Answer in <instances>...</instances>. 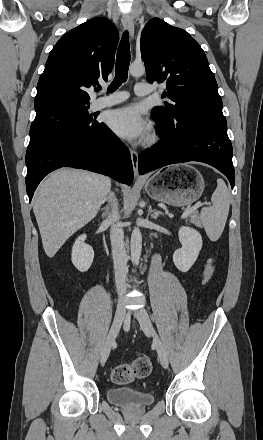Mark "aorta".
<instances>
[{
  "label": "aorta",
  "mask_w": 263,
  "mask_h": 440,
  "mask_svg": "<svg viewBox=\"0 0 263 440\" xmlns=\"http://www.w3.org/2000/svg\"><path fill=\"white\" fill-rule=\"evenodd\" d=\"M129 72L134 77H140L145 73V66L142 63H132ZM131 260L134 265L139 263L142 250V235L138 227H134L130 242Z\"/></svg>",
  "instance_id": "762f6f07"
}]
</instances>
